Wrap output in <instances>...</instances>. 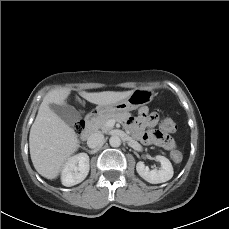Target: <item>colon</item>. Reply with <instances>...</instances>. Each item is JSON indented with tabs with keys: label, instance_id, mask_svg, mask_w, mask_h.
Wrapping results in <instances>:
<instances>
[{
	"label": "colon",
	"instance_id": "obj_1",
	"mask_svg": "<svg viewBox=\"0 0 229 229\" xmlns=\"http://www.w3.org/2000/svg\"><path fill=\"white\" fill-rule=\"evenodd\" d=\"M83 120L75 122L73 129L76 133H80L84 130ZM176 126L172 119L165 118L159 125L158 129L154 133V137L157 142L165 149L172 151V159L176 162H180L183 158V154L180 151L175 150V141L171 137V134L175 131Z\"/></svg>",
	"mask_w": 229,
	"mask_h": 229
}]
</instances>
